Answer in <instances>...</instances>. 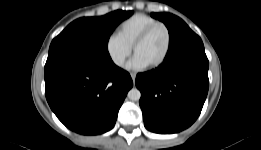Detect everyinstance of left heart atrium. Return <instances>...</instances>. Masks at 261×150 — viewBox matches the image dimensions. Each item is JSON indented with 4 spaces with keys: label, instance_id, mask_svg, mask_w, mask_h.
<instances>
[{
    "label": "left heart atrium",
    "instance_id": "39dd6f15",
    "mask_svg": "<svg viewBox=\"0 0 261 150\" xmlns=\"http://www.w3.org/2000/svg\"><path fill=\"white\" fill-rule=\"evenodd\" d=\"M148 65L139 56L134 55V57L127 64V68L130 70H143L147 68Z\"/></svg>",
    "mask_w": 261,
    "mask_h": 150
}]
</instances>
